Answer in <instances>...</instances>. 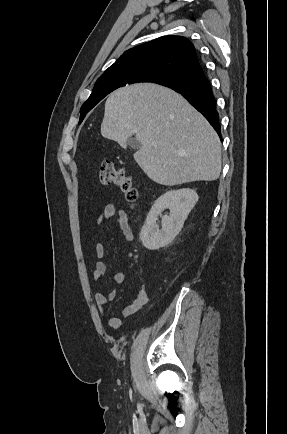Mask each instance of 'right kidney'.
<instances>
[{"label":"right kidney","mask_w":287,"mask_h":434,"mask_svg":"<svg viewBox=\"0 0 287 434\" xmlns=\"http://www.w3.org/2000/svg\"><path fill=\"white\" fill-rule=\"evenodd\" d=\"M198 199L196 191L190 188L171 190L160 196L141 229L140 240L143 246L148 250H157L170 244L183 228ZM165 209H169L170 214L162 217V228L159 229L156 221Z\"/></svg>","instance_id":"right-kidney-1"}]
</instances>
